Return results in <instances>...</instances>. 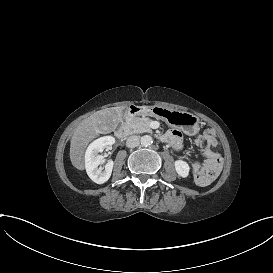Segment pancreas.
<instances>
[{
  "label": "pancreas",
  "instance_id": "cf45deb5",
  "mask_svg": "<svg viewBox=\"0 0 273 273\" xmlns=\"http://www.w3.org/2000/svg\"><path fill=\"white\" fill-rule=\"evenodd\" d=\"M151 119L147 117H128L126 118V125L132 130V133H152L150 128Z\"/></svg>",
  "mask_w": 273,
  "mask_h": 273
}]
</instances>
